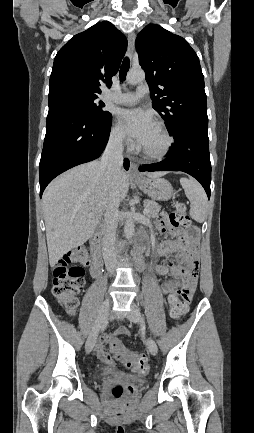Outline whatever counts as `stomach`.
Wrapping results in <instances>:
<instances>
[{"instance_id":"1","label":"stomach","mask_w":254,"mask_h":433,"mask_svg":"<svg viewBox=\"0 0 254 433\" xmlns=\"http://www.w3.org/2000/svg\"><path fill=\"white\" fill-rule=\"evenodd\" d=\"M138 187L152 199L159 201L169 200L173 196L172 185L165 179L157 177L135 180Z\"/></svg>"}]
</instances>
